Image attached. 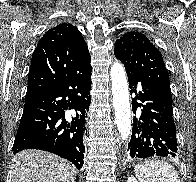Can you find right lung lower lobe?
Masks as SVG:
<instances>
[{
	"label": "right lung lower lobe",
	"instance_id": "obj_1",
	"mask_svg": "<svg viewBox=\"0 0 196 182\" xmlns=\"http://www.w3.org/2000/svg\"><path fill=\"white\" fill-rule=\"evenodd\" d=\"M91 70L89 60L24 106L12 148L14 154L40 149L82 168ZM68 108L75 109L76 116L66 120L64 110Z\"/></svg>",
	"mask_w": 196,
	"mask_h": 182
}]
</instances>
